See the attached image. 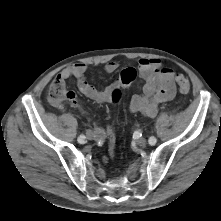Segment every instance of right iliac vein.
<instances>
[{
  "instance_id": "right-iliac-vein-1",
  "label": "right iliac vein",
  "mask_w": 221,
  "mask_h": 221,
  "mask_svg": "<svg viewBox=\"0 0 221 221\" xmlns=\"http://www.w3.org/2000/svg\"><path fill=\"white\" fill-rule=\"evenodd\" d=\"M86 137H87V139H89V140H93V139L96 138L95 134H94L92 131H90V130L87 131Z\"/></svg>"
}]
</instances>
